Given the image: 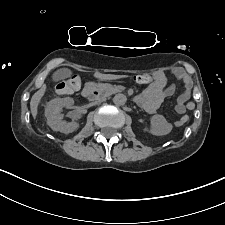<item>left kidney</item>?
I'll list each match as a JSON object with an SVG mask.
<instances>
[{"label":"left kidney","mask_w":225,"mask_h":225,"mask_svg":"<svg viewBox=\"0 0 225 225\" xmlns=\"http://www.w3.org/2000/svg\"><path fill=\"white\" fill-rule=\"evenodd\" d=\"M172 124L168 123L163 115H153L151 117V133L156 136L167 135L172 131Z\"/></svg>","instance_id":"left-kidney-1"}]
</instances>
